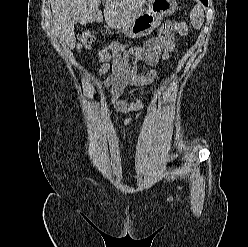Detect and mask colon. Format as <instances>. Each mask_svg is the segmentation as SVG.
<instances>
[{
  "label": "colon",
  "instance_id": "5ec220e1",
  "mask_svg": "<svg viewBox=\"0 0 248 247\" xmlns=\"http://www.w3.org/2000/svg\"><path fill=\"white\" fill-rule=\"evenodd\" d=\"M172 32H176L180 35H185L188 32V27L184 22L179 21H165L158 29L156 36H165L171 34ZM95 32L93 30L86 29L79 35L80 46L83 49H88L91 44L94 42ZM127 48L126 45L120 43H111L107 47H105L102 51V57L108 54V50H112L114 52H120Z\"/></svg>",
  "mask_w": 248,
  "mask_h": 247
}]
</instances>
